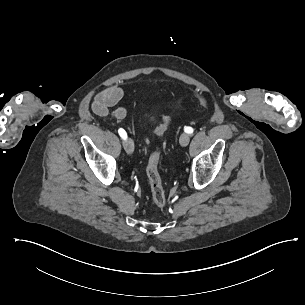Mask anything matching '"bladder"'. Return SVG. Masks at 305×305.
<instances>
[{"instance_id": "obj_1", "label": "bladder", "mask_w": 305, "mask_h": 305, "mask_svg": "<svg viewBox=\"0 0 305 305\" xmlns=\"http://www.w3.org/2000/svg\"><path fill=\"white\" fill-rule=\"evenodd\" d=\"M142 114H143V122L145 123L148 129L155 127L160 120V116L156 113L154 109H152L149 106L143 109Z\"/></svg>"}]
</instances>
